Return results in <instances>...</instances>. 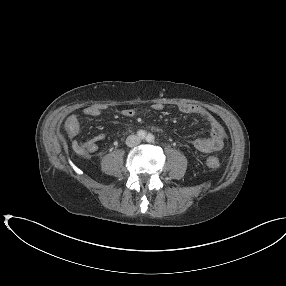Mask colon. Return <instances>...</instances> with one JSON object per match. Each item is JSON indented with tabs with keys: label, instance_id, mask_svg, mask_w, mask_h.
I'll return each mask as SVG.
<instances>
[{
	"label": "colon",
	"instance_id": "obj_1",
	"mask_svg": "<svg viewBox=\"0 0 286 286\" xmlns=\"http://www.w3.org/2000/svg\"><path fill=\"white\" fill-rule=\"evenodd\" d=\"M206 165L209 168H218L220 163L216 157L210 156L206 159Z\"/></svg>",
	"mask_w": 286,
	"mask_h": 286
}]
</instances>
